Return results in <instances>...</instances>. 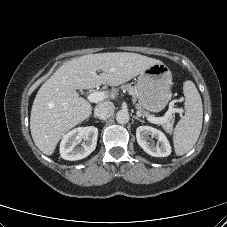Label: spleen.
<instances>
[{
    "instance_id": "spleen-1",
    "label": "spleen",
    "mask_w": 227,
    "mask_h": 227,
    "mask_svg": "<svg viewBox=\"0 0 227 227\" xmlns=\"http://www.w3.org/2000/svg\"><path fill=\"white\" fill-rule=\"evenodd\" d=\"M185 115L177 123L173 133V144L178 156L190 151L202 130L203 105L195 84L187 80L183 84Z\"/></svg>"
}]
</instances>
